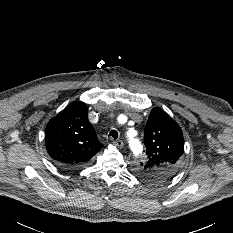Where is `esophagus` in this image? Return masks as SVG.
Instances as JSON below:
<instances>
[{"instance_id": "1", "label": "esophagus", "mask_w": 233, "mask_h": 233, "mask_svg": "<svg viewBox=\"0 0 233 233\" xmlns=\"http://www.w3.org/2000/svg\"><path fill=\"white\" fill-rule=\"evenodd\" d=\"M115 146H117L118 148H122L124 143L122 140H116L113 142Z\"/></svg>"}]
</instances>
